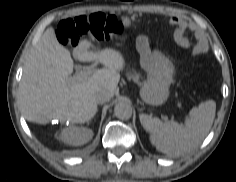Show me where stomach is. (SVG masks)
Here are the masks:
<instances>
[{"mask_svg":"<svg viewBox=\"0 0 236 182\" xmlns=\"http://www.w3.org/2000/svg\"><path fill=\"white\" fill-rule=\"evenodd\" d=\"M125 23L129 25V19H125ZM141 65L148 73L140 89L141 99L149 105L163 104L176 72L173 61L158 50H146L141 53Z\"/></svg>","mask_w":236,"mask_h":182,"instance_id":"0dacf381","label":"stomach"}]
</instances>
